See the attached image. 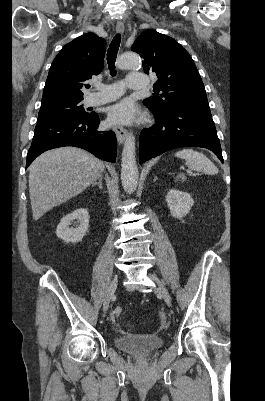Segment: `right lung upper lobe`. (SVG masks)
Instances as JSON below:
<instances>
[{
    "label": "right lung upper lobe",
    "mask_w": 265,
    "mask_h": 401,
    "mask_svg": "<svg viewBox=\"0 0 265 401\" xmlns=\"http://www.w3.org/2000/svg\"><path fill=\"white\" fill-rule=\"evenodd\" d=\"M105 49V40L94 33L66 44L52 62L41 104L83 98L82 82L102 71Z\"/></svg>",
    "instance_id": "right-lung-upper-lobe-1"
}]
</instances>
